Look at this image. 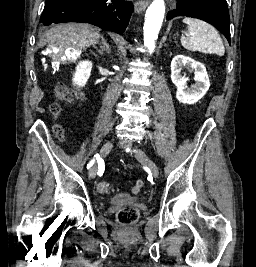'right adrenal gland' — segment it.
Returning a JSON list of instances; mask_svg holds the SVG:
<instances>
[{
	"label": "right adrenal gland",
	"mask_w": 256,
	"mask_h": 267,
	"mask_svg": "<svg viewBox=\"0 0 256 267\" xmlns=\"http://www.w3.org/2000/svg\"><path fill=\"white\" fill-rule=\"evenodd\" d=\"M99 46H100V54H104V52H106V54H110L111 52L110 46L109 44H107V40H105L103 36H101V42Z\"/></svg>",
	"instance_id": "obj_1"
}]
</instances>
